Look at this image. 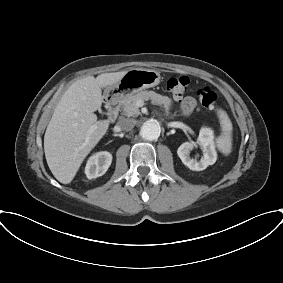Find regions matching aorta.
<instances>
[{"label": "aorta", "mask_w": 283, "mask_h": 283, "mask_svg": "<svg viewBox=\"0 0 283 283\" xmlns=\"http://www.w3.org/2000/svg\"><path fill=\"white\" fill-rule=\"evenodd\" d=\"M140 135L145 140H156L160 135V126L156 121H147L140 130Z\"/></svg>", "instance_id": "aorta-1"}]
</instances>
